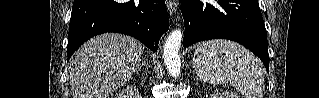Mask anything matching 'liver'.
I'll return each instance as SVG.
<instances>
[{
  "label": "liver",
  "instance_id": "1",
  "mask_svg": "<svg viewBox=\"0 0 319 98\" xmlns=\"http://www.w3.org/2000/svg\"><path fill=\"white\" fill-rule=\"evenodd\" d=\"M142 44L121 34H102L87 42L70 60L73 98H108L136 72Z\"/></svg>",
  "mask_w": 319,
  "mask_h": 98
}]
</instances>
